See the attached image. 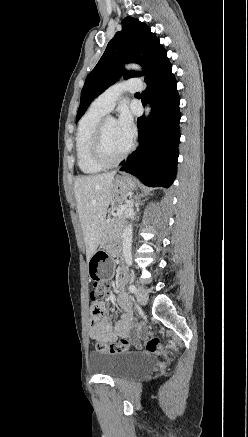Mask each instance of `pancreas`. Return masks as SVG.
<instances>
[{"mask_svg":"<svg viewBox=\"0 0 248 437\" xmlns=\"http://www.w3.org/2000/svg\"><path fill=\"white\" fill-rule=\"evenodd\" d=\"M125 220V214H120L117 217L110 219L105 227L106 235L111 239L119 236Z\"/></svg>","mask_w":248,"mask_h":437,"instance_id":"1","label":"pancreas"}]
</instances>
